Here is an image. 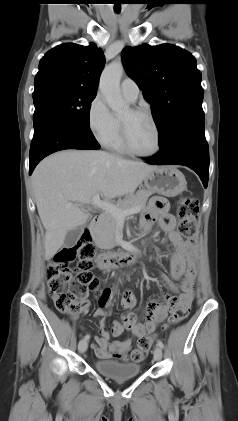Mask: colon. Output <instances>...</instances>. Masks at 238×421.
<instances>
[{
  "label": "colon",
  "instance_id": "obj_1",
  "mask_svg": "<svg viewBox=\"0 0 238 421\" xmlns=\"http://www.w3.org/2000/svg\"><path fill=\"white\" fill-rule=\"evenodd\" d=\"M198 203L191 197L180 200L177 208L178 232L186 241L194 245L196 242V216ZM95 247L90 237L84 235L75 245L62 247L53 257L47 268L48 290L55 307L65 314H78L85 309L82 300L92 290L100 299L102 291L99 290L100 281L91 270ZM78 258L77 269L73 270L70 263ZM188 307H174L169 324L176 325L185 320L189 314ZM153 343L150 335L141 336L135 349L127 354L120 353L118 357L123 361L132 360L140 362Z\"/></svg>",
  "mask_w": 238,
  "mask_h": 421
}]
</instances>
